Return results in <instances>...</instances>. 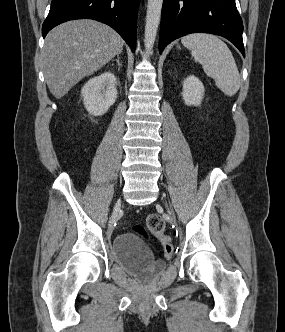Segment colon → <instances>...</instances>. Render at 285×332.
Here are the masks:
<instances>
[{
	"label": "colon",
	"mask_w": 285,
	"mask_h": 332,
	"mask_svg": "<svg viewBox=\"0 0 285 332\" xmlns=\"http://www.w3.org/2000/svg\"><path fill=\"white\" fill-rule=\"evenodd\" d=\"M133 230L142 235L147 236L148 233L158 236L161 239L164 255L167 259H170L174 253V248L170 239L164 235L165 223L164 221L156 214H151L146 218V224L135 225Z\"/></svg>",
	"instance_id": "5ec220e1"
}]
</instances>
